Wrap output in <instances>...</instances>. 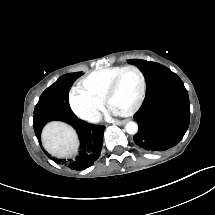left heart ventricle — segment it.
<instances>
[{"mask_svg":"<svg viewBox=\"0 0 215 215\" xmlns=\"http://www.w3.org/2000/svg\"><path fill=\"white\" fill-rule=\"evenodd\" d=\"M119 84L120 87L117 91L111 93L109 100L111 104L118 108H126L130 106L134 97L137 78L131 72H123Z\"/></svg>","mask_w":215,"mask_h":215,"instance_id":"obj_1","label":"left heart ventricle"}]
</instances>
